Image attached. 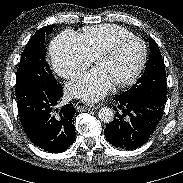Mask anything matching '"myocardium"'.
<instances>
[{"label":"myocardium","mask_w":183,"mask_h":183,"mask_svg":"<svg viewBox=\"0 0 183 183\" xmlns=\"http://www.w3.org/2000/svg\"><path fill=\"white\" fill-rule=\"evenodd\" d=\"M131 40L138 41L142 45V49H143L142 57H141V60L138 64L137 68L134 70V72L128 78L113 84V87L116 89L125 88L127 86H130L141 75V73L146 65L147 57H148V48H147L145 41L143 39H141L140 37H137L135 35L121 37V38L115 40L113 43H111L108 47H106L105 49L100 51L94 57V63L96 64L99 60L107 58V57L111 56L112 54H114L116 52V50L123 43H125L127 41H131Z\"/></svg>","instance_id":"myocardium-1"}]
</instances>
